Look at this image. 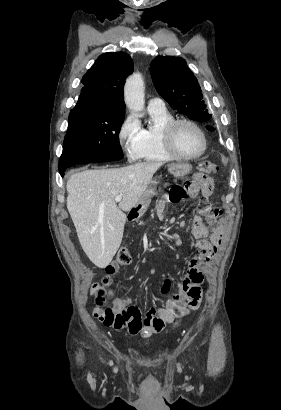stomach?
Listing matches in <instances>:
<instances>
[{
    "mask_svg": "<svg viewBox=\"0 0 281 410\" xmlns=\"http://www.w3.org/2000/svg\"><path fill=\"white\" fill-rule=\"evenodd\" d=\"M191 169V165L186 163L170 164L168 166V171L175 177L184 176L188 174L191 171ZM157 183V180H152L149 188L144 192L138 203L133 207L132 212L135 214V216H141L146 212L150 204L151 197L153 196V192L156 189Z\"/></svg>",
    "mask_w": 281,
    "mask_h": 410,
    "instance_id": "0dacf381",
    "label": "stomach"
}]
</instances>
